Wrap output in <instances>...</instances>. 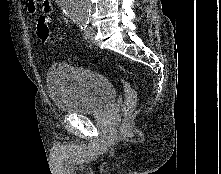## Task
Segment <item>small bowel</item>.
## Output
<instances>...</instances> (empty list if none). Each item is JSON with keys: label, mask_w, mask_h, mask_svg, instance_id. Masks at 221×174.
Wrapping results in <instances>:
<instances>
[{"label": "small bowel", "mask_w": 221, "mask_h": 174, "mask_svg": "<svg viewBox=\"0 0 221 174\" xmlns=\"http://www.w3.org/2000/svg\"><path fill=\"white\" fill-rule=\"evenodd\" d=\"M26 10L29 14L34 15L38 12V3L36 0H25ZM42 10L45 14H51L53 12V4L51 0H42Z\"/></svg>", "instance_id": "small-bowel-1"}]
</instances>
